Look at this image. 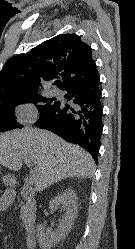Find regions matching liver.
I'll list each match as a JSON object with an SVG mask.
<instances>
[{
  "mask_svg": "<svg viewBox=\"0 0 135 249\" xmlns=\"http://www.w3.org/2000/svg\"><path fill=\"white\" fill-rule=\"evenodd\" d=\"M27 157L36 166V190L67 178H91L95 164L83 148L40 129L0 134V165L18 171Z\"/></svg>",
  "mask_w": 135,
  "mask_h": 249,
  "instance_id": "6515ba94",
  "label": "liver"
}]
</instances>
